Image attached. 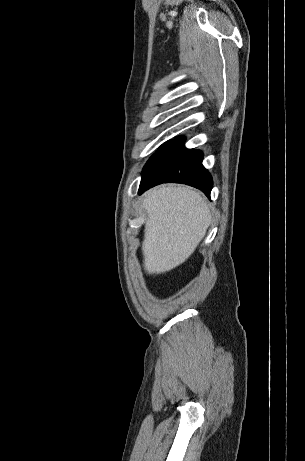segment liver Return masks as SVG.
Instances as JSON below:
<instances>
[{
	"mask_svg": "<svg viewBox=\"0 0 305 461\" xmlns=\"http://www.w3.org/2000/svg\"><path fill=\"white\" fill-rule=\"evenodd\" d=\"M143 208V267L148 274L165 273L184 263L211 223L206 201L187 186H157L144 195Z\"/></svg>",
	"mask_w": 305,
	"mask_h": 461,
	"instance_id": "liver-1",
	"label": "liver"
}]
</instances>
